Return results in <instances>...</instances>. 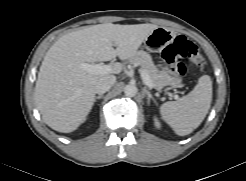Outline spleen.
I'll return each instance as SVG.
<instances>
[{"instance_id": "3e777b00", "label": "spleen", "mask_w": 246, "mask_h": 181, "mask_svg": "<svg viewBox=\"0 0 246 181\" xmlns=\"http://www.w3.org/2000/svg\"><path fill=\"white\" fill-rule=\"evenodd\" d=\"M212 101V80L203 75L197 85L178 101H168L160 106L162 119L175 133L185 136L193 132L206 117Z\"/></svg>"}]
</instances>
